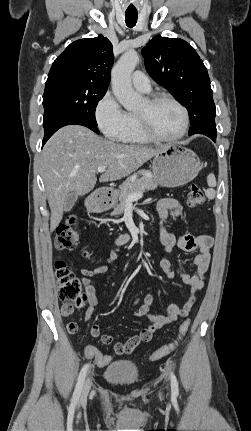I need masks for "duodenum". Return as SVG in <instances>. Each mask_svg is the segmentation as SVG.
I'll use <instances>...</instances> for the list:
<instances>
[{"mask_svg": "<svg viewBox=\"0 0 251 431\" xmlns=\"http://www.w3.org/2000/svg\"><path fill=\"white\" fill-rule=\"evenodd\" d=\"M92 206H93V204H92ZM128 236L127 235H123V236H121L120 238H119V243H125V242H127L128 241Z\"/></svg>", "mask_w": 251, "mask_h": 431, "instance_id": "duodenum-1", "label": "duodenum"}]
</instances>
